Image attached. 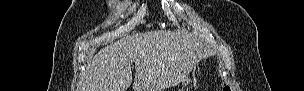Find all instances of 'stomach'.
<instances>
[{
	"instance_id": "0dacf381",
	"label": "stomach",
	"mask_w": 304,
	"mask_h": 91,
	"mask_svg": "<svg viewBox=\"0 0 304 91\" xmlns=\"http://www.w3.org/2000/svg\"><path fill=\"white\" fill-rule=\"evenodd\" d=\"M190 82H191V79L189 78V76H187L184 80H183V85H188V84H190Z\"/></svg>"
}]
</instances>
